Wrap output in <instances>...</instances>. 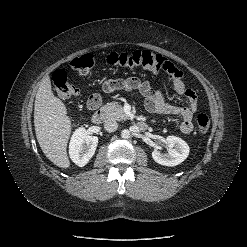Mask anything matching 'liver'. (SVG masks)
Here are the masks:
<instances>
[{
    "mask_svg": "<svg viewBox=\"0 0 247 247\" xmlns=\"http://www.w3.org/2000/svg\"><path fill=\"white\" fill-rule=\"evenodd\" d=\"M34 126L38 143L45 156L61 168H69L67 143L71 119L65 104L52 92L49 76L42 78L34 104Z\"/></svg>",
    "mask_w": 247,
    "mask_h": 247,
    "instance_id": "6515ba94",
    "label": "liver"
}]
</instances>
